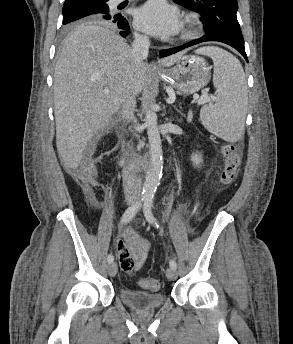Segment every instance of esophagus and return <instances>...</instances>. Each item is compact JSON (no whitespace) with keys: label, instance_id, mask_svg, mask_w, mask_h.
Listing matches in <instances>:
<instances>
[{"label":"esophagus","instance_id":"obj_1","mask_svg":"<svg viewBox=\"0 0 293 344\" xmlns=\"http://www.w3.org/2000/svg\"><path fill=\"white\" fill-rule=\"evenodd\" d=\"M152 65L154 66V68L157 67V63L153 62Z\"/></svg>","mask_w":293,"mask_h":344}]
</instances>
